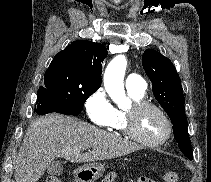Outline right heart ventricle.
Wrapping results in <instances>:
<instances>
[{
	"mask_svg": "<svg viewBox=\"0 0 211 182\" xmlns=\"http://www.w3.org/2000/svg\"><path fill=\"white\" fill-rule=\"evenodd\" d=\"M128 93L134 101L142 100L143 98V95H138L129 91ZM125 126V112L120 109L114 108L113 116L106 127L111 131L126 134Z\"/></svg>",
	"mask_w": 211,
	"mask_h": 182,
	"instance_id": "right-heart-ventricle-1",
	"label": "right heart ventricle"
}]
</instances>
